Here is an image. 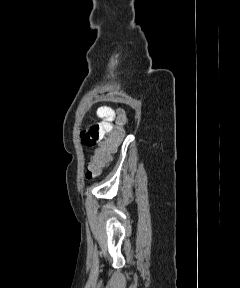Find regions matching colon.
<instances>
[{"mask_svg":"<svg viewBox=\"0 0 240 288\" xmlns=\"http://www.w3.org/2000/svg\"><path fill=\"white\" fill-rule=\"evenodd\" d=\"M125 118L120 114L116 126L107 133L98 143L89 163L86 167L85 176L91 179L100 174L101 170L109 163L112 155L116 152L117 147L123 139V124Z\"/></svg>","mask_w":240,"mask_h":288,"instance_id":"1","label":"colon"}]
</instances>
